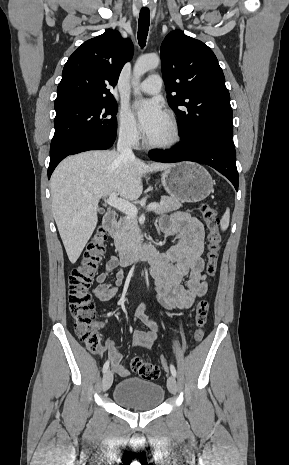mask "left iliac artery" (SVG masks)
<instances>
[{
    "label": "left iliac artery",
    "instance_id": "obj_1",
    "mask_svg": "<svg viewBox=\"0 0 289 465\" xmlns=\"http://www.w3.org/2000/svg\"><path fill=\"white\" fill-rule=\"evenodd\" d=\"M170 371H171V374H172L174 377H176V375H177L176 369H175L174 365H172V364L170 365Z\"/></svg>",
    "mask_w": 289,
    "mask_h": 465
}]
</instances>
